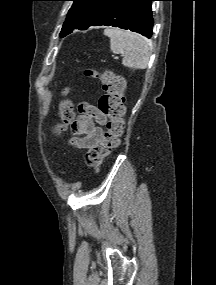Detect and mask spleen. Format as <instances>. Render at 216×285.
<instances>
[{
	"mask_svg": "<svg viewBox=\"0 0 216 285\" xmlns=\"http://www.w3.org/2000/svg\"><path fill=\"white\" fill-rule=\"evenodd\" d=\"M104 35L110 38L111 51L124 55L123 66L130 69H145L148 66L151 50L146 38L118 28H106Z\"/></svg>",
	"mask_w": 216,
	"mask_h": 285,
	"instance_id": "spleen-1",
	"label": "spleen"
}]
</instances>
